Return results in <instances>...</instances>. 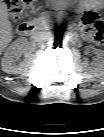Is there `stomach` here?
<instances>
[{
    "label": "stomach",
    "mask_w": 104,
    "mask_h": 137,
    "mask_svg": "<svg viewBox=\"0 0 104 137\" xmlns=\"http://www.w3.org/2000/svg\"><path fill=\"white\" fill-rule=\"evenodd\" d=\"M90 2L92 0H51V4L55 9H63L72 5H76L78 9H85Z\"/></svg>",
    "instance_id": "stomach-1"
}]
</instances>
